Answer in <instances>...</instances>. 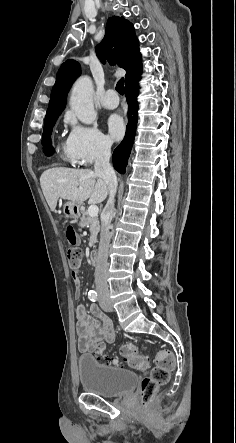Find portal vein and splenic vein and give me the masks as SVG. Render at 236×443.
Returning <instances> with one entry per match:
<instances>
[{
  "label": "portal vein and splenic vein",
  "instance_id": "18ae733b",
  "mask_svg": "<svg viewBox=\"0 0 236 443\" xmlns=\"http://www.w3.org/2000/svg\"><path fill=\"white\" fill-rule=\"evenodd\" d=\"M98 211H99V209H98V206H96V205H91L88 208V214H89L90 217L97 216L98 215Z\"/></svg>",
  "mask_w": 236,
  "mask_h": 443
}]
</instances>
